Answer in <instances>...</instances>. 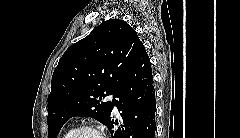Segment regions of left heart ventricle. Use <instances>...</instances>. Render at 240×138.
I'll use <instances>...</instances> for the list:
<instances>
[{
    "mask_svg": "<svg viewBox=\"0 0 240 138\" xmlns=\"http://www.w3.org/2000/svg\"><path fill=\"white\" fill-rule=\"evenodd\" d=\"M77 138H99V136L92 131H84L80 133Z\"/></svg>",
    "mask_w": 240,
    "mask_h": 138,
    "instance_id": "1",
    "label": "left heart ventricle"
}]
</instances>
